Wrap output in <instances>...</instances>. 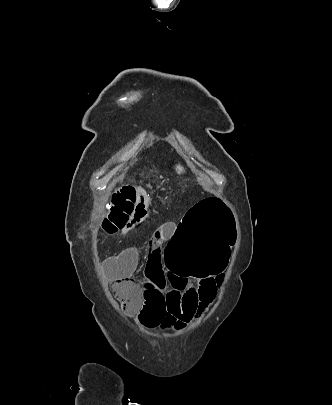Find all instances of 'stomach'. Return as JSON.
I'll return each instance as SVG.
<instances>
[{
	"instance_id": "0dacf381",
	"label": "stomach",
	"mask_w": 332,
	"mask_h": 405,
	"mask_svg": "<svg viewBox=\"0 0 332 405\" xmlns=\"http://www.w3.org/2000/svg\"><path fill=\"white\" fill-rule=\"evenodd\" d=\"M174 170L180 175L185 173V168L181 164H177L174 166Z\"/></svg>"
}]
</instances>
